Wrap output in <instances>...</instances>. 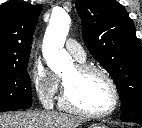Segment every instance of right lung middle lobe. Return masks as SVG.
<instances>
[{"mask_svg":"<svg viewBox=\"0 0 142 128\" xmlns=\"http://www.w3.org/2000/svg\"><path fill=\"white\" fill-rule=\"evenodd\" d=\"M27 64L0 69V110L27 109L32 105Z\"/></svg>","mask_w":142,"mask_h":128,"instance_id":"right-lung-middle-lobe-1","label":"right lung middle lobe"}]
</instances>
